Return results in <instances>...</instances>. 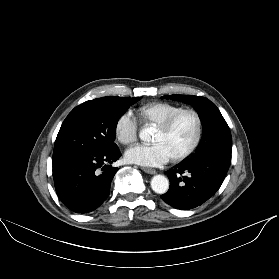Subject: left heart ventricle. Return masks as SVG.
Here are the masks:
<instances>
[{
  "mask_svg": "<svg viewBox=\"0 0 279 279\" xmlns=\"http://www.w3.org/2000/svg\"><path fill=\"white\" fill-rule=\"evenodd\" d=\"M196 124L191 114L181 115L167 132L156 130L153 142L162 143L171 157L183 152L191 144Z\"/></svg>",
  "mask_w": 279,
  "mask_h": 279,
  "instance_id": "b2bd125f",
  "label": "left heart ventricle"
}]
</instances>
